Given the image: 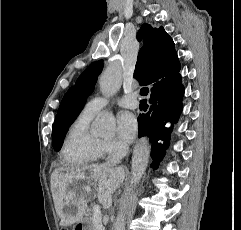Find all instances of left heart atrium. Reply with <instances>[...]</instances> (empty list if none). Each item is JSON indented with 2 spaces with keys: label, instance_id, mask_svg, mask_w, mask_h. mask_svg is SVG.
<instances>
[{
  "label": "left heart atrium",
  "instance_id": "1",
  "mask_svg": "<svg viewBox=\"0 0 241 230\" xmlns=\"http://www.w3.org/2000/svg\"><path fill=\"white\" fill-rule=\"evenodd\" d=\"M137 121L130 112H121L117 119V134L124 142H131L137 133Z\"/></svg>",
  "mask_w": 241,
  "mask_h": 230
}]
</instances>
